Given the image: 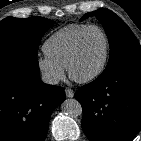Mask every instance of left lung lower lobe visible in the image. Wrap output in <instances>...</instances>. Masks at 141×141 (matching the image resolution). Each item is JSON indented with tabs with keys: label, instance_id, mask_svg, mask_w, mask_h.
<instances>
[{
	"label": "left lung lower lobe",
	"instance_id": "left-lung-lower-lobe-1",
	"mask_svg": "<svg viewBox=\"0 0 141 141\" xmlns=\"http://www.w3.org/2000/svg\"><path fill=\"white\" fill-rule=\"evenodd\" d=\"M90 141H131L141 130V61L118 64L79 88Z\"/></svg>",
	"mask_w": 141,
	"mask_h": 141
}]
</instances>
